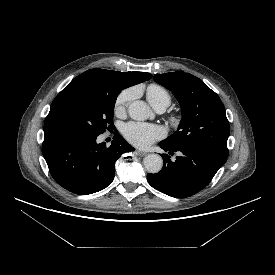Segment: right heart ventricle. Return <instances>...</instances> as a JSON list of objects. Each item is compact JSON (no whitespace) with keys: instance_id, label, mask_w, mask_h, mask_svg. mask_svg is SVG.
Listing matches in <instances>:
<instances>
[{"instance_id":"obj_1","label":"right heart ventricle","mask_w":275,"mask_h":275,"mask_svg":"<svg viewBox=\"0 0 275 275\" xmlns=\"http://www.w3.org/2000/svg\"><path fill=\"white\" fill-rule=\"evenodd\" d=\"M146 97L149 103L156 109L158 107H167L171 103L169 91L162 85L153 83L147 87Z\"/></svg>"}]
</instances>
